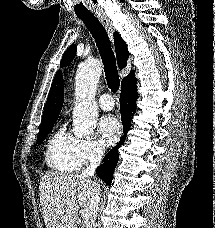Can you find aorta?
Instances as JSON below:
<instances>
[{"label": "aorta", "mask_w": 215, "mask_h": 228, "mask_svg": "<svg viewBox=\"0 0 215 228\" xmlns=\"http://www.w3.org/2000/svg\"><path fill=\"white\" fill-rule=\"evenodd\" d=\"M102 74L98 60H86L76 74V102L73 112V132L76 136H92L97 120L95 88Z\"/></svg>", "instance_id": "762f6f07"}]
</instances>
